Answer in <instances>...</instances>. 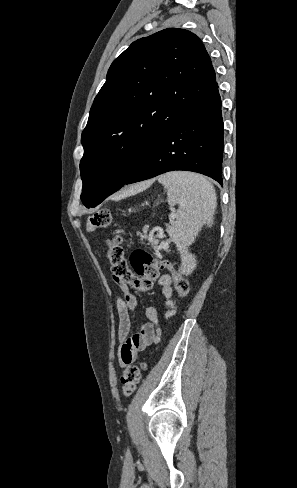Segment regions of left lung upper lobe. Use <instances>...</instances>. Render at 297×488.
Here are the masks:
<instances>
[{
  "instance_id": "obj_1",
  "label": "left lung upper lobe",
  "mask_w": 297,
  "mask_h": 488,
  "mask_svg": "<svg viewBox=\"0 0 297 488\" xmlns=\"http://www.w3.org/2000/svg\"><path fill=\"white\" fill-rule=\"evenodd\" d=\"M211 59L190 31L133 42L111 64L82 132L81 200L95 207L136 173L166 134L217 88Z\"/></svg>"
}]
</instances>
